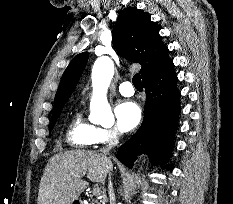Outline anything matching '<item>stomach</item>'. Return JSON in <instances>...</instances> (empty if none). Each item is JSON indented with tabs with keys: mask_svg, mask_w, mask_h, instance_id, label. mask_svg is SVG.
I'll return each instance as SVG.
<instances>
[{
	"mask_svg": "<svg viewBox=\"0 0 233 204\" xmlns=\"http://www.w3.org/2000/svg\"><path fill=\"white\" fill-rule=\"evenodd\" d=\"M73 203H74V204H82V202H81V201H78L77 199H76L75 201H73L72 204H73Z\"/></svg>",
	"mask_w": 233,
	"mask_h": 204,
	"instance_id": "1",
	"label": "stomach"
}]
</instances>
